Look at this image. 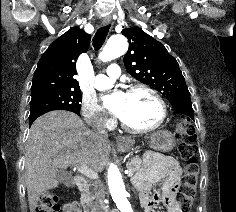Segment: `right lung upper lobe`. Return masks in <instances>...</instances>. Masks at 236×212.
<instances>
[{
	"instance_id": "cb5924a9",
	"label": "right lung upper lobe",
	"mask_w": 236,
	"mask_h": 212,
	"mask_svg": "<svg viewBox=\"0 0 236 212\" xmlns=\"http://www.w3.org/2000/svg\"><path fill=\"white\" fill-rule=\"evenodd\" d=\"M91 36L78 27L70 28L44 52L35 70L31 91L79 89L76 60L88 50Z\"/></svg>"
}]
</instances>
